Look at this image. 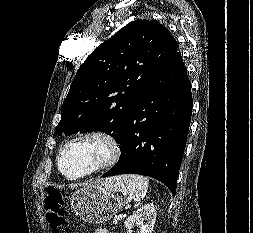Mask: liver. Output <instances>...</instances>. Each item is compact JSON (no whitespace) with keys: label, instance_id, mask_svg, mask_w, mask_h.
<instances>
[{"label":"liver","instance_id":"liver-1","mask_svg":"<svg viewBox=\"0 0 253 233\" xmlns=\"http://www.w3.org/2000/svg\"><path fill=\"white\" fill-rule=\"evenodd\" d=\"M107 183V180L104 182V181H99L97 182V184H101V185H105Z\"/></svg>","mask_w":253,"mask_h":233}]
</instances>
